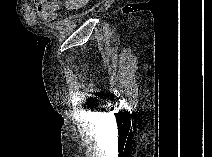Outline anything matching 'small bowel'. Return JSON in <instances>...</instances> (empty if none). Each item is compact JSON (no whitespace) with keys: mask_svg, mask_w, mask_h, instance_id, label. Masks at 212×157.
<instances>
[{"mask_svg":"<svg viewBox=\"0 0 212 157\" xmlns=\"http://www.w3.org/2000/svg\"><path fill=\"white\" fill-rule=\"evenodd\" d=\"M84 0H59L39 1L37 2V13L44 20L52 21L59 16V8L62 5L64 9L73 11L85 5Z\"/></svg>","mask_w":212,"mask_h":157,"instance_id":"c3829d8e","label":"small bowel"}]
</instances>
